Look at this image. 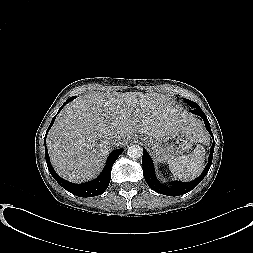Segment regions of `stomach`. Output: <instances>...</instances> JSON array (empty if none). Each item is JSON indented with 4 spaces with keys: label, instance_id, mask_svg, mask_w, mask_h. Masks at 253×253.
<instances>
[{
    "label": "stomach",
    "instance_id": "0dacf381",
    "mask_svg": "<svg viewBox=\"0 0 253 253\" xmlns=\"http://www.w3.org/2000/svg\"><path fill=\"white\" fill-rule=\"evenodd\" d=\"M140 139L152 150L153 156L159 162H166L170 158L187 152L193 143L191 137L183 133H165L160 136L141 134Z\"/></svg>",
    "mask_w": 253,
    "mask_h": 253
}]
</instances>
